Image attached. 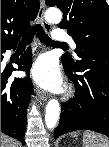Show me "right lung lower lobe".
Returning a JSON list of instances; mask_svg holds the SVG:
<instances>
[{"label": "right lung lower lobe", "instance_id": "98d812e1", "mask_svg": "<svg viewBox=\"0 0 109 147\" xmlns=\"http://www.w3.org/2000/svg\"><path fill=\"white\" fill-rule=\"evenodd\" d=\"M17 41L1 46V61L2 53H5L7 49L15 48ZM31 61L32 54L28 50L17 59L16 64L20 70L28 71ZM14 70L16 69L13 66L1 69V132L18 139L24 145L27 108L33 85L29 78L8 80Z\"/></svg>", "mask_w": 109, "mask_h": 147}]
</instances>
